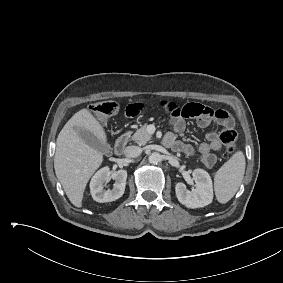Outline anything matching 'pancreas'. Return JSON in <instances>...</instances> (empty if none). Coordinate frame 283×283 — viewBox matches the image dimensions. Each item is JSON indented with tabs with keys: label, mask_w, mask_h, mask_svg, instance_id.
Returning <instances> with one entry per match:
<instances>
[{
	"label": "pancreas",
	"mask_w": 283,
	"mask_h": 283,
	"mask_svg": "<svg viewBox=\"0 0 283 283\" xmlns=\"http://www.w3.org/2000/svg\"><path fill=\"white\" fill-rule=\"evenodd\" d=\"M146 127L147 124H144L131 136V139L138 145H145L148 141L151 140L152 136L147 132Z\"/></svg>",
	"instance_id": "obj_1"
}]
</instances>
